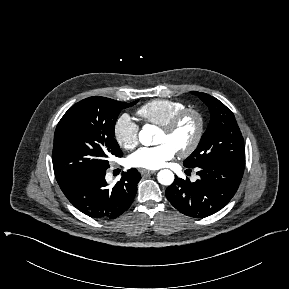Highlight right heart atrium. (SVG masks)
<instances>
[{"label":"right heart atrium","mask_w":289,"mask_h":289,"mask_svg":"<svg viewBox=\"0 0 289 289\" xmlns=\"http://www.w3.org/2000/svg\"><path fill=\"white\" fill-rule=\"evenodd\" d=\"M113 132L117 143L126 150L135 148L139 143V128L128 114H122L116 119Z\"/></svg>","instance_id":"obj_1"}]
</instances>
